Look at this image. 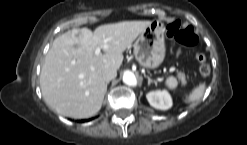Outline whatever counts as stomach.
Masks as SVG:
<instances>
[{
  "label": "stomach",
  "instance_id": "stomach-1",
  "mask_svg": "<svg viewBox=\"0 0 247 145\" xmlns=\"http://www.w3.org/2000/svg\"><path fill=\"white\" fill-rule=\"evenodd\" d=\"M164 32V25L154 20L139 35L133 45V53L141 66L154 69L163 62L166 52Z\"/></svg>",
  "mask_w": 247,
  "mask_h": 145
}]
</instances>
